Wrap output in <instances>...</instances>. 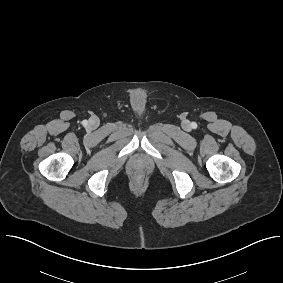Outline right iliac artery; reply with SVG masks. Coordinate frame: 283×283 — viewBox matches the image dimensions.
<instances>
[{"label":"right iliac artery","mask_w":283,"mask_h":283,"mask_svg":"<svg viewBox=\"0 0 283 283\" xmlns=\"http://www.w3.org/2000/svg\"><path fill=\"white\" fill-rule=\"evenodd\" d=\"M83 124H84V125H86V124H87V121H86V120H84V121H83Z\"/></svg>","instance_id":"right-iliac-artery-1"}]
</instances>
